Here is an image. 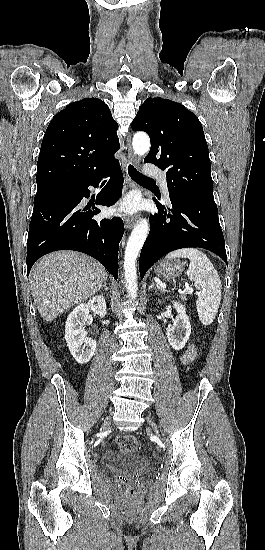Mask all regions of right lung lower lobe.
Here are the masks:
<instances>
[{"mask_svg":"<svg viewBox=\"0 0 265 550\" xmlns=\"http://www.w3.org/2000/svg\"><path fill=\"white\" fill-rule=\"evenodd\" d=\"M111 178L96 198V204L113 205L122 195L123 174L119 165L97 177L72 183L61 194L34 205L27 245V276L35 261L57 250H75L97 259L115 279L118 277V244L124 232L123 221H96L95 207H82L81 200L90 196L88 187H96L102 177Z\"/></svg>","mask_w":265,"mask_h":550,"instance_id":"1","label":"right lung lower lobe"}]
</instances>
